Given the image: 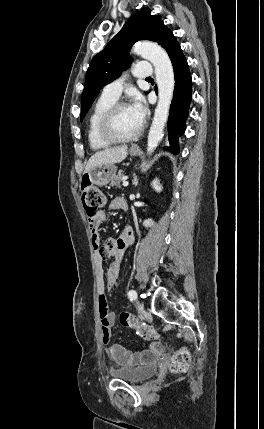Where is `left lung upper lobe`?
Returning <instances> with one entry per match:
<instances>
[{
	"label": "left lung upper lobe",
	"mask_w": 264,
	"mask_h": 429,
	"mask_svg": "<svg viewBox=\"0 0 264 429\" xmlns=\"http://www.w3.org/2000/svg\"><path fill=\"white\" fill-rule=\"evenodd\" d=\"M168 29L159 15H151L149 8L133 14L120 32L91 61L86 73L82 95L80 120L88 112L100 90L112 82L131 63L128 54L131 46L139 40H151L161 44Z\"/></svg>",
	"instance_id": "5c2ea615"
}]
</instances>
